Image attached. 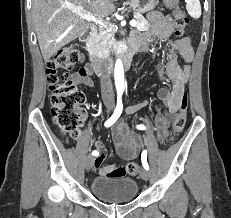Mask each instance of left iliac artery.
<instances>
[{"label":"left iliac artery","mask_w":231,"mask_h":218,"mask_svg":"<svg viewBox=\"0 0 231 218\" xmlns=\"http://www.w3.org/2000/svg\"><path fill=\"white\" fill-rule=\"evenodd\" d=\"M137 129L139 130H145L146 127L144 125H137ZM147 151L144 150L141 154V160H142V164H143V167L148 170L149 169V165L147 163Z\"/></svg>","instance_id":"1"}]
</instances>
